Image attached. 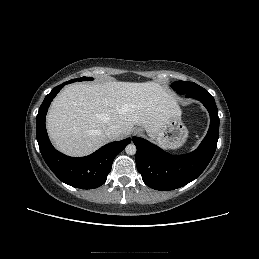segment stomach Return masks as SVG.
I'll return each instance as SVG.
<instances>
[{"label":"stomach","mask_w":259,"mask_h":259,"mask_svg":"<svg viewBox=\"0 0 259 259\" xmlns=\"http://www.w3.org/2000/svg\"><path fill=\"white\" fill-rule=\"evenodd\" d=\"M155 142L166 150L180 148L188 138V129L181 121V112L170 117L161 130L152 137Z\"/></svg>","instance_id":"obj_1"}]
</instances>
